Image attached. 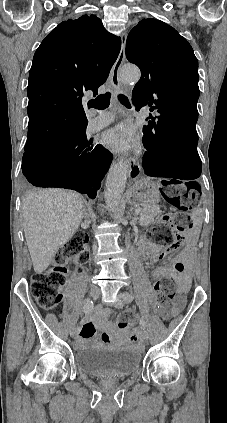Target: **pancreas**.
<instances>
[{
  "label": "pancreas",
  "instance_id": "obj_1",
  "mask_svg": "<svg viewBox=\"0 0 227 423\" xmlns=\"http://www.w3.org/2000/svg\"><path fill=\"white\" fill-rule=\"evenodd\" d=\"M157 213H161L159 206H142L140 225L151 223Z\"/></svg>",
  "mask_w": 227,
  "mask_h": 423
}]
</instances>
